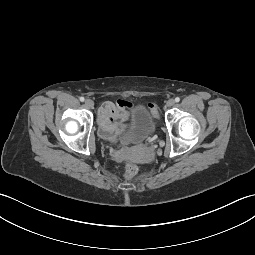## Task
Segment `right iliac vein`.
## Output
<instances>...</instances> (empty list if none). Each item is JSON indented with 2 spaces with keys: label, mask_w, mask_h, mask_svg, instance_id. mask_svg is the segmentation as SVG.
Masks as SVG:
<instances>
[{
  "label": "right iliac vein",
  "mask_w": 255,
  "mask_h": 255,
  "mask_svg": "<svg viewBox=\"0 0 255 255\" xmlns=\"http://www.w3.org/2000/svg\"><path fill=\"white\" fill-rule=\"evenodd\" d=\"M85 105H86V107H88V108H93L94 102H93V100H91V99H86V100H85Z\"/></svg>",
  "instance_id": "obj_1"
}]
</instances>
